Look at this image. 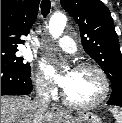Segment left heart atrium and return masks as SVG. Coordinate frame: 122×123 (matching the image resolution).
Masks as SVG:
<instances>
[{
    "instance_id": "39dd6f15",
    "label": "left heart atrium",
    "mask_w": 122,
    "mask_h": 123,
    "mask_svg": "<svg viewBox=\"0 0 122 123\" xmlns=\"http://www.w3.org/2000/svg\"><path fill=\"white\" fill-rule=\"evenodd\" d=\"M41 69L46 77L56 83L58 86L65 88L69 82V74H60L56 70L53 62L49 59L43 60L41 63Z\"/></svg>"
}]
</instances>
